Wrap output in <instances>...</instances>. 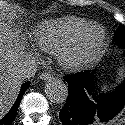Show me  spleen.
<instances>
[{"instance_id":"3e777b00","label":"spleen","mask_w":125,"mask_h":125,"mask_svg":"<svg viewBox=\"0 0 125 125\" xmlns=\"http://www.w3.org/2000/svg\"><path fill=\"white\" fill-rule=\"evenodd\" d=\"M123 74L125 75L124 70L121 69V70L119 71V75H120V76H123ZM102 90H103V91H106V90H107V86H103V87H102Z\"/></svg>"}]
</instances>
